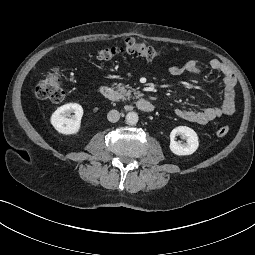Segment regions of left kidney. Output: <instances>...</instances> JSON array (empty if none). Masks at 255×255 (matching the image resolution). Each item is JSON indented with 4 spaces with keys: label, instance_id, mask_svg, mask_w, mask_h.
I'll return each mask as SVG.
<instances>
[{
    "label": "left kidney",
    "instance_id": "5707ae66",
    "mask_svg": "<svg viewBox=\"0 0 255 255\" xmlns=\"http://www.w3.org/2000/svg\"><path fill=\"white\" fill-rule=\"evenodd\" d=\"M176 135H181L183 139H186V143L181 144L175 141ZM198 146L199 138L193 129L187 126H178L171 131L169 147L175 155H191L198 149Z\"/></svg>",
    "mask_w": 255,
    "mask_h": 255
}]
</instances>
